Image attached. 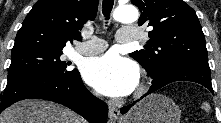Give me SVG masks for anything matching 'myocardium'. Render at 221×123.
<instances>
[{
	"instance_id": "obj_1",
	"label": "myocardium",
	"mask_w": 221,
	"mask_h": 123,
	"mask_svg": "<svg viewBox=\"0 0 221 123\" xmlns=\"http://www.w3.org/2000/svg\"><path fill=\"white\" fill-rule=\"evenodd\" d=\"M145 91V86L144 85H140L137 90H136V96H140L144 93Z\"/></svg>"
}]
</instances>
